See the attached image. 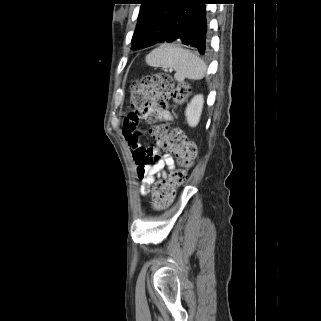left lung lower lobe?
<instances>
[{
  "label": "left lung lower lobe",
  "instance_id": "0a47b994",
  "mask_svg": "<svg viewBox=\"0 0 321 321\" xmlns=\"http://www.w3.org/2000/svg\"><path fill=\"white\" fill-rule=\"evenodd\" d=\"M211 0H178L160 43L177 42L204 55L209 50L205 4Z\"/></svg>",
  "mask_w": 321,
  "mask_h": 321
}]
</instances>
